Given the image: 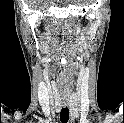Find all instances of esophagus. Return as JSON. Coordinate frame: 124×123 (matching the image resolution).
I'll use <instances>...</instances> for the list:
<instances>
[{"instance_id":"esophagus-1","label":"esophagus","mask_w":124,"mask_h":123,"mask_svg":"<svg viewBox=\"0 0 124 123\" xmlns=\"http://www.w3.org/2000/svg\"><path fill=\"white\" fill-rule=\"evenodd\" d=\"M63 106H68V101L66 100V101H63Z\"/></svg>"}]
</instances>
